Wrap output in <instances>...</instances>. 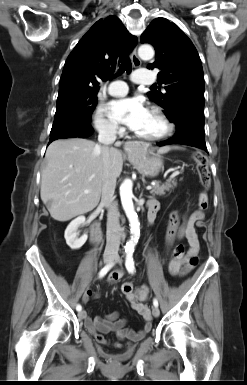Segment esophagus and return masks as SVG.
<instances>
[{"label": "esophagus", "mask_w": 247, "mask_h": 385, "mask_svg": "<svg viewBox=\"0 0 247 385\" xmlns=\"http://www.w3.org/2000/svg\"><path fill=\"white\" fill-rule=\"evenodd\" d=\"M131 60L134 67H139L141 65V60L139 59L137 55V47H135L131 53ZM137 145L132 142H127L125 144V148L128 150L136 147Z\"/></svg>", "instance_id": "34e87169"}]
</instances>
